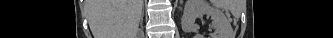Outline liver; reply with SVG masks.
Here are the masks:
<instances>
[{
    "instance_id": "obj_1",
    "label": "liver",
    "mask_w": 333,
    "mask_h": 38,
    "mask_svg": "<svg viewBox=\"0 0 333 38\" xmlns=\"http://www.w3.org/2000/svg\"><path fill=\"white\" fill-rule=\"evenodd\" d=\"M143 0H88L94 38H136Z\"/></svg>"
}]
</instances>
